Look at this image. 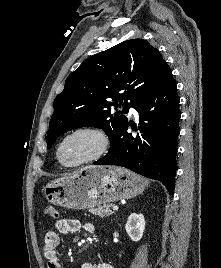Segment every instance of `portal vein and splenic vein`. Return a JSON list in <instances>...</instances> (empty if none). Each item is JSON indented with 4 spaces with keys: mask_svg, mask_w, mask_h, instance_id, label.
Listing matches in <instances>:
<instances>
[{
    "mask_svg": "<svg viewBox=\"0 0 221 268\" xmlns=\"http://www.w3.org/2000/svg\"><path fill=\"white\" fill-rule=\"evenodd\" d=\"M113 210L114 211L118 210V206H113Z\"/></svg>",
    "mask_w": 221,
    "mask_h": 268,
    "instance_id": "portal-vein-and-splenic-vein-1",
    "label": "portal vein and splenic vein"
}]
</instances>
